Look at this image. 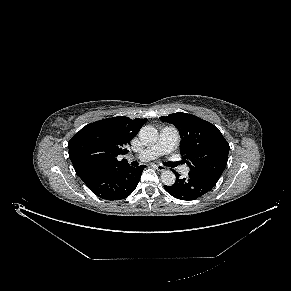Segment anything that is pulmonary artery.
I'll use <instances>...</instances> for the list:
<instances>
[{
	"mask_svg": "<svg viewBox=\"0 0 291 291\" xmlns=\"http://www.w3.org/2000/svg\"><path fill=\"white\" fill-rule=\"evenodd\" d=\"M179 140V132L173 126H166L161 130L158 141L146 149L142 150L136 155L131 156L132 158L140 161H150L161 155L169 154L172 152ZM182 172L187 174L189 167H183Z\"/></svg>",
	"mask_w": 291,
	"mask_h": 291,
	"instance_id": "1",
	"label": "pulmonary artery"
}]
</instances>
